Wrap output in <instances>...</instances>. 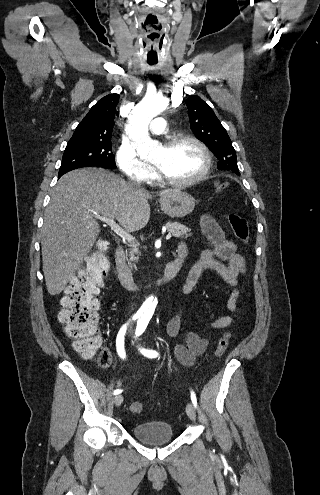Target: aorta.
Listing matches in <instances>:
<instances>
[{
    "label": "aorta",
    "instance_id": "aorta-1",
    "mask_svg": "<svg viewBox=\"0 0 320 495\" xmlns=\"http://www.w3.org/2000/svg\"><path fill=\"white\" fill-rule=\"evenodd\" d=\"M169 105L164 97L145 96L132 110L128 117V133L137 154L143 158H153L159 150V144L153 141L148 132L150 121L161 114ZM157 301L149 297L143 304L145 313H154Z\"/></svg>",
    "mask_w": 320,
    "mask_h": 495
}]
</instances>
